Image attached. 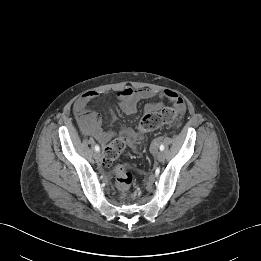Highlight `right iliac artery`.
I'll list each match as a JSON object with an SVG mask.
<instances>
[{"mask_svg": "<svg viewBox=\"0 0 261 261\" xmlns=\"http://www.w3.org/2000/svg\"><path fill=\"white\" fill-rule=\"evenodd\" d=\"M95 150L96 151H99L100 150V147L98 145H95Z\"/></svg>", "mask_w": 261, "mask_h": 261, "instance_id": "1", "label": "right iliac artery"}]
</instances>
